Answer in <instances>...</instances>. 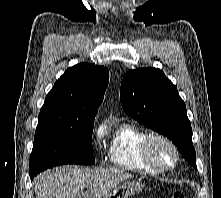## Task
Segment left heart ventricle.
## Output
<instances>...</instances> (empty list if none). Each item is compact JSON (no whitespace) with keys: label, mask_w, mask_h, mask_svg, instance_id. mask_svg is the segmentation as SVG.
<instances>
[{"label":"left heart ventricle","mask_w":221,"mask_h":198,"mask_svg":"<svg viewBox=\"0 0 221 198\" xmlns=\"http://www.w3.org/2000/svg\"><path fill=\"white\" fill-rule=\"evenodd\" d=\"M153 152L157 161L162 165L169 166L173 164L174 154L167 144L156 141L153 145Z\"/></svg>","instance_id":"b2bd125f"}]
</instances>
